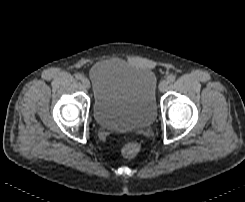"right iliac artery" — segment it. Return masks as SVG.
Here are the masks:
<instances>
[{
	"instance_id": "82829eb1",
	"label": "right iliac artery",
	"mask_w": 245,
	"mask_h": 202,
	"mask_svg": "<svg viewBox=\"0 0 245 202\" xmlns=\"http://www.w3.org/2000/svg\"><path fill=\"white\" fill-rule=\"evenodd\" d=\"M75 78L78 79V80H81V79H82V75L79 74V73H77V74L75 75Z\"/></svg>"
}]
</instances>
